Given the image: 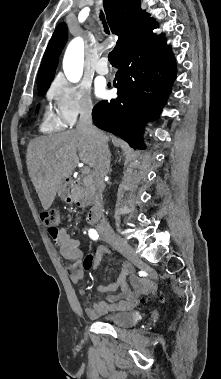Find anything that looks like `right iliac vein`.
<instances>
[{
  "instance_id": "right-iliac-vein-1",
  "label": "right iliac vein",
  "mask_w": 221,
  "mask_h": 379,
  "mask_svg": "<svg viewBox=\"0 0 221 379\" xmlns=\"http://www.w3.org/2000/svg\"><path fill=\"white\" fill-rule=\"evenodd\" d=\"M105 239L110 245H112L115 249H117L124 255L132 258H137L132 246L120 237L116 235H108Z\"/></svg>"
}]
</instances>
